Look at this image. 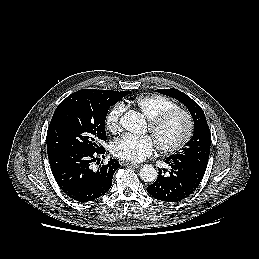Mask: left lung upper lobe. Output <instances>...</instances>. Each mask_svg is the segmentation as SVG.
Instances as JSON below:
<instances>
[{
    "instance_id": "1",
    "label": "left lung upper lobe",
    "mask_w": 259,
    "mask_h": 259,
    "mask_svg": "<svg viewBox=\"0 0 259 259\" xmlns=\"http://www.w3.org/2000/svg\"><path fill=\"white\" fill-rule=\"evenodd\" d=\"M157 92L181 101L190 111L194 121V134L186 144L187 147L171 157L190 161L198 167L206 169L210 153L211 133L202 108L193 99L177 89H157Z\"/></svg>"
}]
</instances>
